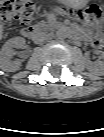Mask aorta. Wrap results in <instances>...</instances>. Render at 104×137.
I'll return each instance as SVG.
<instances>
[{
    "instance_id": "1",
    "label": "aorta",
    "mask_w": 104,
    "mask_h": 137,
    "mask_svg": "<svg viewBox=\"0 0 104 137\" xmlns=\"http://www.w3.org/2000/svg\"><path fill=\"white\" fill-rule=\"evenodd\" d=\"M57 36L59 39H66L69 37V32L65 28H61L57 31Z\"/></svg>"
}]
</instances>
